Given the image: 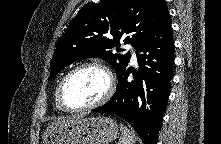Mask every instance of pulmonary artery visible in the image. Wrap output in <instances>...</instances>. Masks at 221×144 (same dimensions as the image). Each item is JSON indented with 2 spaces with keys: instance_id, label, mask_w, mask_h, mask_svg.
I'll return each mask as SVG.
<instances>
[{
  "instance_id": "obj_1",
  "label": "pulmonary artery",
  "mask_w": 221,
  "mask_h": 144,
  "mask_svg": "<svg viewBox=\"0 0 221 144\" xmlns=\"http://www.w3.org/2000/svg\"><path fill=\"white\" fill-rule=\"evenodd\" d=\"M126 49L131 51V59L132 62H136L137 56H136V50L132 45H127Z\"/></svg>"
}]
</instances>
